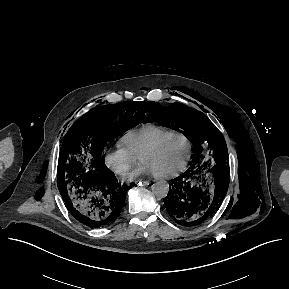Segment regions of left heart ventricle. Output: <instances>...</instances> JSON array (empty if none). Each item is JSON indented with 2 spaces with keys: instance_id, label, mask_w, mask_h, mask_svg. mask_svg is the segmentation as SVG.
Here are the masks:
<instances>
[{
  "instance_id": "left-heart-ventricle-1",
  "label": "left heart ventricle",
  "mask_w": 289,
  "mask_h": 289,
  "mask_svg": "<svg viewBox=\"0 0 289 289\" xmlns=\"http://www.w3.org/2000/svg\"><path fill=\"white\" fill-rule=\"evenodd\" d=\"M188 146L185 140L174 137L164 142L160 148L143 159L154 173L163 174L177 170L186 160Z\"/></svg>"
}]
</instances>
